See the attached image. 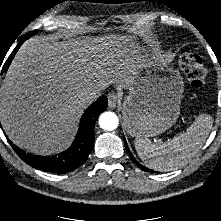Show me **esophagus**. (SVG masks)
<instances>
[{
  "instance_id": "1",
  "label": "esophagus",
  "mask_w": 221,
  "mask_h": 221,
  "mask_svg": "<svg viewBox=\"0 0 221 221\" xmlns=\"http://www.w3.org/2000/svg\"><path fill=\"white\" fill-rule=\"evenodd\" d=\"M119 103V95L116 93H112L109 96V107L114 109Z\"/></svg>"
}]
</instances>
